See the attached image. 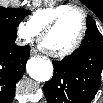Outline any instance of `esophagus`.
<instances>
[{"label": "esophagus", "mask_w": 103, "mask_h": 103, "mask_svg": "<svg viewBox=\"0 0 103 103\" xmlns=\"http://www.w3.org/2000/svg\"><path fill=\"white\" fill-rule=\"evenodd\" d=\"M37 51L35 49H31V55H36Z\"/></svg>", "instance_id": "esophagus-1"}]
</instances>
